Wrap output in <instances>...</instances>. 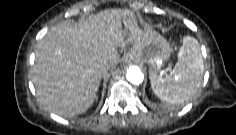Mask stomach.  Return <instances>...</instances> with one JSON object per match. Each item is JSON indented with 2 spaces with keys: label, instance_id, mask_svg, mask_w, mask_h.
I'll use <instances>...</instances> for the list:
<instances>
[{
  "label": "stomach",
  "instance_id": "1",
  "mask_svg": "<svg viewBox=\"0 0 236 135\" xmlns=\"http://www.w3.org/2000/svg\"><path fill=\"white\" fill-rule=\"evenodd\" d=\"M170 44L155 31H146L139 50L130 51L131 58L149 66L150 77L159 74L170 58Z\"/></svg>",
  "mask_w": 236,
  "mask_h": 135
}]
</instances>
